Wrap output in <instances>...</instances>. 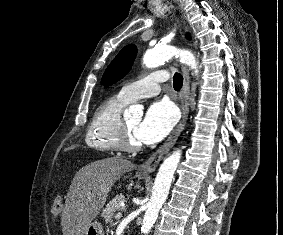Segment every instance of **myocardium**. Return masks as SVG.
<instances>
[{"mask_svg":"<svg viewBox=\"0 0 283 235\" xmlns=\"http://www.w3.org/2000/svg\"><path fill=\"white\" fill-rule=\"evenodd\" d=\"M117 145L120 150L125 152H137L141 149V143L132 140L129 131L126 127L125 121L121 120L117 133H116Z\"/></svg>","mask_w":283,"mask_h":235,"instance_id":"myocardium-1","label":"myocardium"}]
</instances>
